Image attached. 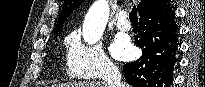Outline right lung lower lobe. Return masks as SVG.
<instances>
[{
  "label": "right lung lower lobe",
  "mask_w": 205,
  "mask_h": 87,
  "mask_svg": "<svg viewBox=\"0 0 205 87\" xmlns=\"http://www.w3.org/2000/svg\"><path fill=\"white\" fill-rule=\"evenodd\" d=\"M178 26L169 0H159L140 14L136 44L143 55L123 67L134 87H170L178 48Z\"/></svg>",
  "instance_id": "right-lung-lower-lobe-1"
}]
</instances>
